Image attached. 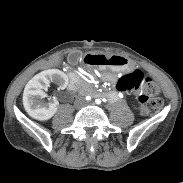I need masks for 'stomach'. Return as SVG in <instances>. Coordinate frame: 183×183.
I'll use <instances>...</instances> for the list:
<instances>
[{"label": "stomach", "instance_id": "stomach-1", "mask_svg": "<svg viewBox=\"0 0 183 183\" xmlns=\"http://www.w3.org/2000/svg\"><path fill=\"white\" fill-rule=\"evenodd\" d=\"M103 63L100 64L101 69H110L114 72L128 71L131 68L130 60L121 55H103Z\"/></svg>", "mask_w": 183, "mask_h": 183}]
</instances>
